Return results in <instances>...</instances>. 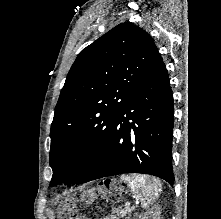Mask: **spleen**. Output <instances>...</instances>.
I'll use <instances>...</instances> for the list:
<instances>
[{"mask_svg": "<svg viewBox=\"0 0 221 219\" xmlns=\"http://www.w3.org/2000/svg\"><path fill=\"white\" fill-rule=\"evenodd\" d=\"M121 179L126 182L136 198L140 199L141 206L147 208L159 196L161 191L160 182L145 175H121Z\"/></svg>", "mask_w": 221, "mask_h": 219, "instance_id": "obj_1", "label": "spleen"}]
</instances>
